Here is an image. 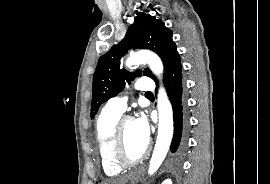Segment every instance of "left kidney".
<instances>
[{
  "instance_id": "1",
  "label": "left kidney",
  "mask_w": 270,
  "mask_h": 184,
  "mask_svg": "<svg viewBox=\"0 0 270 184\" xmlns=\"http://www.w3.org/2000/svg\"><path fill=\"white\" fill-rule=\"evenodd\" d=\"M162 184H172L171 179H165Z\"/></svg>"
}]
</instances>
